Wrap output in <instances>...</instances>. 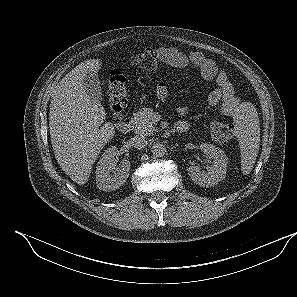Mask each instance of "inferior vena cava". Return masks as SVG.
<instances>
[{"instance_id":"obj_1","label":"inferior vena cava","mask_w":297,"mask_h":297,"mask_svg":"<svg viewBox=\"0 0 297 297\" xmlns=\"http://www.w3.org/2000/svg\"><path fill=\"white\" fill-rule=\"evenodd\" d=\"M131 143H132L133 147L141 150L147 146L148 141L145 136L136 135L133 138H131Z\"/></svg>"}]
</instances>
